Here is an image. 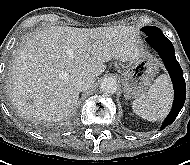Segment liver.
Masks as SVG:
<instances>
[{"instance_id":"liver-1","label":"liver","mask_w":190,"mask_h":165,"mask_svg":"<svg viewBox=\"0 0 190 165\" xmlns=\"http://www.w3.org/2000/svg\"><path fill=\"white\" fill-rule=\"evenodd\" d=\"M139 58L132 27L46 28L27 39L12 61L11 102L28 119L60 121L77 105L79 91L74 78L78 74L97 77L105 71V62Z\"/></svg>"}]
</instances>
